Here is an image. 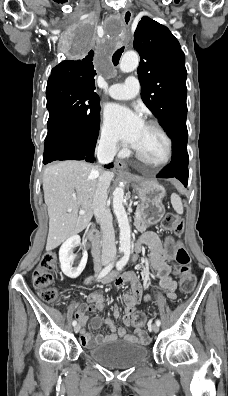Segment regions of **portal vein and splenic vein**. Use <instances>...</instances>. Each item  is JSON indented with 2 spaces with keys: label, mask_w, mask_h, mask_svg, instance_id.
<instances>
[{
  "label": "portal vein and splenic vein",
  "mask_w": 228,
  "mask_h": 396,
  "mask_svg": "<svg viewBox=\"0 0 228 396\" xmlns=\"http://www.w3.org/2000/svg\"><path fill=\"white\" fill-rule=\"evenodd\" d=\"M84 213H85L84 210H80V211H79V214H80V215H83Z\"/></svg>",
  "instance_id": "1"
}]
</instances>
